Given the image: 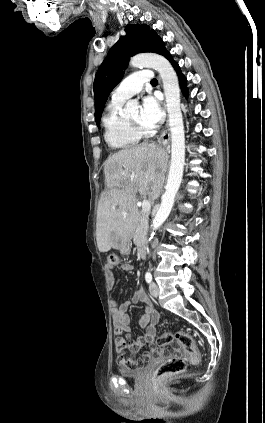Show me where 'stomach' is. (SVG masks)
I'll use <instances>...</instances> for the list:
<instances>
[{"label": "stomach", "instance_id": "1", "mask_svg": "<svg viewBox=\"0 0 265 423\" xmlns=\"http://www.w3.org/2000/svg\"><path fill=\"white\" fill-rule=\"evenodd\" d=\"M129 241L125 240L120 242L119 245V250L123 253V254H128L129 253Z\"/></svg>", "mask_w": 265, "mask_h": 423}]
</instances>
